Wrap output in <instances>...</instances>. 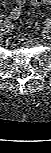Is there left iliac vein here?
<instances>
[{"instance_id": "4c4485c4", "label": "left iliac vein", "mask_w": 51, "mask_h": 153, "mask_svg": "<svg viewBox=\"0 0 51 153\" xmlns=\"http://www.w3.org/2000/svg\"><path fill=\"white\" fill-rule=\"evenodd\" d=\"M46 32H47V33H49V32H50L49 28H47V29H46Z\"/></svg>"}]
</instances>
